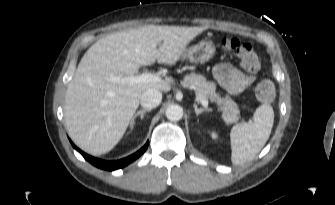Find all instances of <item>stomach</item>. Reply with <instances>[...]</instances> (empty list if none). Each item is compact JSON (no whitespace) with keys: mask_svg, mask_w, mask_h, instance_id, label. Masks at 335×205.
I'll return each mask as SVG.
<instances>
[{"mask_svg":"<svg viewBox=\"0 0 335 205\" xmlns=\"http://www.w3.org/2000/svg\"><path fill=\"white\" fill-rule=\"evenodd\" d=\"M216 52V48L211 41H201L196 45H193L185 49L183 55L184 58L195 63H204L211 59Z\"/></svg>","mask_w":335,"mask_h":205,"instance_id":"obj_1","label":"stomach"}]
</instances>
